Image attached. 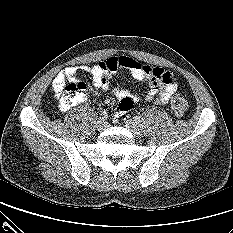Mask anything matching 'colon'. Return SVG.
I'll return each mask as SVG.
<instances>
[{
    "mask_svg": "<svg viewBox=\"0 0 233 233\" xmlns=\"http://www.w3.org/2000/svg\"><path fill=\"white\" fill-rule=\"evenodd\" d=\"M86 86L84 83H70L64 87L62 95L59 97V107L62 110L72 105L79 104L85 98ZM172 113L177 117H182L188 110V102L181 94H175L171 99Z\"/></svg>",
    "mask_w": 233,
    "mask_h": 233,
    "instance_id": "colon-1",
    "label": "colon"
}]
</instances>
